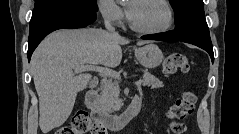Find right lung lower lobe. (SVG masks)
Here are the masks:
<instances>
[{
	"instance_id": "1",
	"label": "right lung lower lobe",
	"mask_w": 239,
	"mask_h": 134,
	"mask_svg": "<svg viewBox=\"0 0 239 134\" xmlns=\"http://www.w3.org/2000/svg\"><path fill=\"white\" fill-rule=\"evenodd\" d=\"M96 18V12L74 7H62L49 11L30 22L28 60L30 61L35 48L50 32L63 28H83L94 22Z\"/></svg>"
}]
</instances>
